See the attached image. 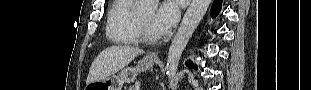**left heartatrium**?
I'll return each instance as SVG.
<instances>
[{"instance_id": "obj_1", "label": "left heart atrium", "mask_w": 311, "mask_h": 90, "mask_svg": "<svg viewBox=\"0 0 311 90\" xmlns=\"http://www.w3.org/2000/svg\"><path fill=\"white\" fill-rule=\"evenodd\" d=\"M179 15L178 1H164L153 16L151 27L158 35H163L176 25Z\"/></svg>"}]
</instances>
